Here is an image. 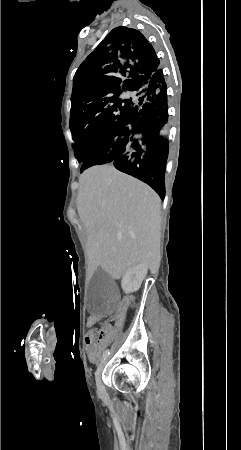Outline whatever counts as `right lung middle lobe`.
<instances>
[{
    "instance_id": "obj_1",
    "label": "right lung middle lobe",
    "mask_w": 241,
    "mask_h": 450,
    "mask_svg": "<svg viewBox=\"0 0 241 450\" xmlns=\"http://www.w3.org/2000/svg\"><path fill=\"white\" fill-rule=\"evenodd\" d=\"M145 100L139 96H127L111 85H101L73 79L71 95L70 129L72 135L81 126H88L92 136V146L119 126L136 119L143 113ZM144 140L141 134H134L128 140L112 147L110 160L100 164H112L114 159L130 152ZM83 162L81 172L94 164L85 163L88 157L75 155ZM98 164V165H100Z\"/></svg>"
}]
</instances>
